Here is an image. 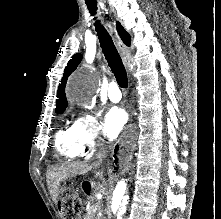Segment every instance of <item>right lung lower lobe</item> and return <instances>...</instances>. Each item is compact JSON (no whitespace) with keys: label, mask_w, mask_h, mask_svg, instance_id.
<instances>
[{"label":"right lung lower lobe","mask_w":221,"mask_h":219,"mask_svg":"<svg viewBox=\"0 0 221 219\" xmlns=\"http://www.w3.org/2000/svg\"><path fill=\"white\" fill-rule=\"evenodd\" d=\"M116 149H118V146H116ZM116 149H115V151H116Z\"/></svg>","instance_id":"right-lung-lower-lobe-1"}]
</instances>
